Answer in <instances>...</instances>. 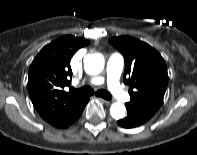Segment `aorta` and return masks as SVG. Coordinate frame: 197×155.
<instances>
[{"mask_svg":"<svg viewBox=\"0 0 197 155\" xmlns=\"http://www.w3.org/2000/svg\"><path fill=\"white\" fill-rule=\"evenodd\" d=\"M104 68V58L101 54L95 53L87 55L84 58V69L88 74L97 75ZM126 108L123 104L116 102L110 107V114L115 119H121L125 116Z\"/></svg>","mask_w":197,"mask_h":155,"instance_id":"obj_1","label":"aorta"}]
</instances>
